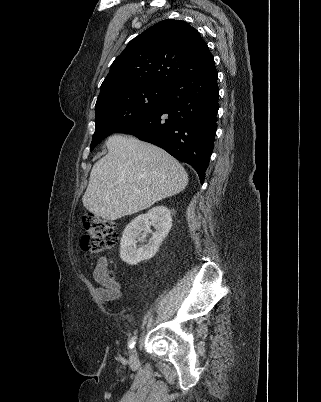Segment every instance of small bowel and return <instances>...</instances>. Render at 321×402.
Listing matches in <instances>:
<instances>
[{
	"instance_id": "obj_1",
	"label": "small bowel",
	"mask_w": 321,
	"mask_h": 402,
	"mask_svg": "<svg viewBox=\"0 0 321 402\" xmlns=\"http://www.w3.org/2000/svg\"><path fill=\"white\" fill-rule=\"evenodd\" d=\"M93 277L100 285L97 288L98 296L103 300H110L120 296V289L107 274V263L105 260H100L93 269Z\"/></svg>"
}]
</instances>
